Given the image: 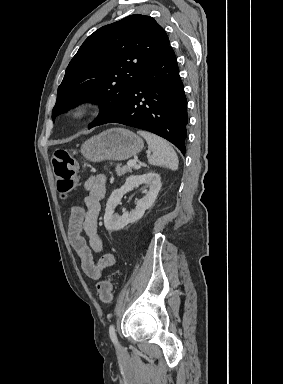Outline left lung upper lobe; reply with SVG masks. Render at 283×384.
Returning a JSON list of instances; mask_svg holds the SVG:
<instances>
[{
    "label": "left lung upper lobe",
    "instance_id": "obj_1",
    "mask_svg": "<svg viewBox=\"0 0 283 384\" xmlns=\"http://www.w3.org/2000/svg\"><path fill=\"white\" fill-rule=\"evenodd\" d=\"M164 29L150 16L130 15L91 34L69 63L58 87L52 118L81 102L100 105L92 128L125 106L136 82L169 46Z\"/></svg>",
    "mask_w": 283,
    "mask_h": 384
}]
</instances>
